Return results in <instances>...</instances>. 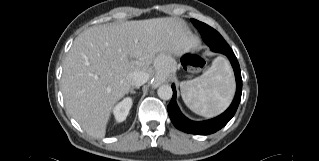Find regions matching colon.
Here are the masks:
<instances>
[{
  "label": "colon",
  "instance_id": "obj_1",
  "mask_svg": "<svg viewBox=\"0 0 319 161\" xmlns=\"http://www.w3.org/2000/svg\"><path fill=\"white\" fill-rule=\"evenodd\" d=\"M205 64L203 58L196 53H186L182 56V65L187 71H196L202 68Z\"/></svg>",
  "mask_w": 319,
  "mask_h": 161
}]
</instances>
